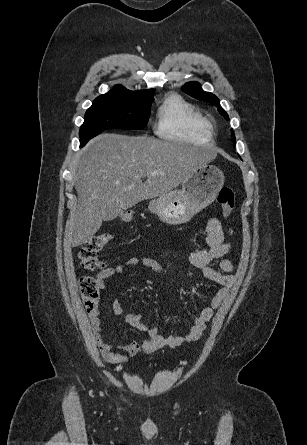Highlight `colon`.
<instances>
[{
  "instance_id": "colon-1",
  "label": "colon",
  "mask_w": 307,
  "mask_h": 445,
  "mask_svg": "<svg viewBox=\"0 0 307 445\" xmlns=\"http://www.w3.org/2000/svg\"><path fill=\"white\" fill-rule=\"evenodd\" d=\"M217 201L222 208V215L228 217L234 207V193L231 188L223 187L219 191ZM124 222L132 220L131 212H124L121 215ZM109 234H99L89 238L81 247L78 257L82 268L85 270H97L104 267L103 262L99 259V252L110 241ZM80 290L86 309L91 312L96 310L99 303L101 288L95 277L83 275L80 277Z\"/></svg>"
}]
</instances>
